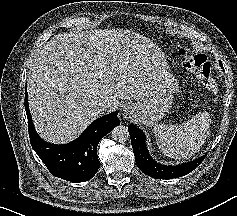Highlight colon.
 Here are the masks:
<instances>
[{"mask_svg": "<svg viewBox=\"0 0 237 216\" xmlns=\"http://www.w3.org/2000/svg\"><path fill=\"white\" fill-rule=\"evenodd\" d=\"M180 55L185 68L198 73L209 85L215 84L211 76V64L205 55H196L186 48L180 49Z\"/></svg>", "mask_w": 237, "mask_h": 216, "instance_id": "5ec220e1", "label": "colon"}]
</instances>
